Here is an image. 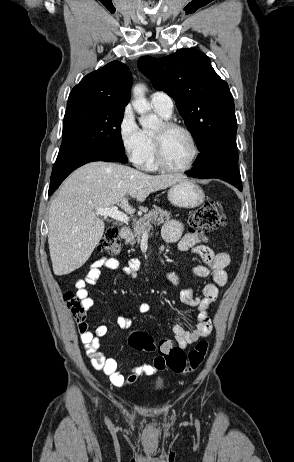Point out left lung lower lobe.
Listing matches in <instances>:
<instances>
[{"mask_svg":"<svg viewBox=\"0 0 294 462\" xmlns=\"http://www.w3.org/2000/svg\"><path fill=\"white\" fill-rule=\"evenodd\" d=\"M186 174L196 178H218L242 191L236 140L223 142L201 152L194 162L193 169Z\"/></svg>","mask_w":294,"mask_h":462,"instance_id":"obj_1","label":"left lung lower lobe"}]
</instances>
